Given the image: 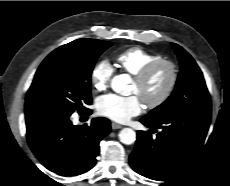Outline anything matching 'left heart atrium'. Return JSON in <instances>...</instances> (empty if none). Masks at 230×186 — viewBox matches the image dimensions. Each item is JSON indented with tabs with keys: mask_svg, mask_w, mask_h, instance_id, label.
<instances>
[{
	"mask_svg": "<svg viewBox=\"0 0 230 186\" xmlns=\"http://www.w3.org/2000/svg\"><path fill=\"white\" fill-rule=\"evenodd\" d=\"M96 107L99 114L116 122H127L142 110L141 101L136 95H104L97 100Z\"/></svg>",
	"mask_w": 230,
	"mask_h": 186,
	"instance_id": "1",
	"label": "left heart atrium"
}]
</instances>
